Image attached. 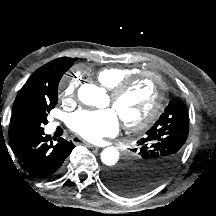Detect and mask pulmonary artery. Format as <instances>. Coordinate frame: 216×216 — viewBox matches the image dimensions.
<instances>
[{
  "instance_id": "pulmonary-artery-1",
  "label": "pulmonary artery",
  "mask_w": 216,
  "mask_h": 216,
  "mask_svg": "<svg viewBox=\"0 0 216 216\" xmlns=\"http://www.w3.org/2000/svg\"><path fill=\"white\" fill-rule=\"evenodd\" d=\"M49 127H50L51 130L55 129L56 123H51V124L49 125Z\"/></svg>"
}]
</instances>
